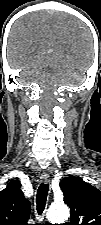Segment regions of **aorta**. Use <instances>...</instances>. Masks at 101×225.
<instances>
[{
	"instance_id": "obj_1",
	"label": "aorta",
	"mask_w": 101,
	"mask_h": 225,
	"mask_svg": "<svg viewBox=\"0 0 101 225\" xmlns=\"http://www.w3.org/2000/svg\"><path fill=\"white\" fill-rule=\"evenodd\" d=\"M70 216L69 209L66 205H52L49 207L46 218L53 224H61Z\"/></svg>"
}]
</instances>
